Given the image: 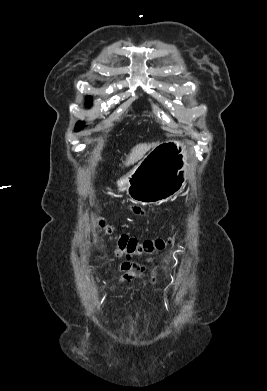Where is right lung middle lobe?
Here are the masks:
<instances>
[{
	"mask_svg": "<svg viewBox=\"0 0 267 391\" xmlns=\"http://www.w3.org/2000/svg\"><path fill=\"white\" fill-rule=\"evenodd\" d=\"M87 105L91 106V99L90 98H87ZM83 128H84V123L83 122H78L76 127H75V131H79V130H81Z\"/></svg>",
	"mask_w": 267,
	"mask_h": 391,
	"instance_id": "obj_1",
	"label": "right lung middle lobe"
}]
</instances>
